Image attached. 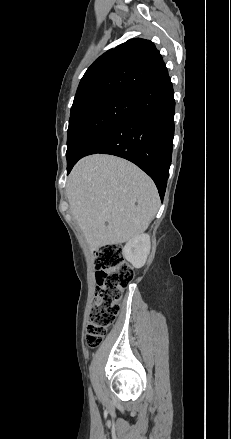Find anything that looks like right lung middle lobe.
<instances>
[{
	"label": "right lung middle lobe",
	"mask_w": 231,
	"mask_h": 439,
	"mask_svg": "<svg viewBox=\"0 0 231 439\" xmlns=\"http://www.w3.org/2000/svg\"><path fill=\"white\" fill-rule=\"evenodd\" d=\"M139 109L134 93L107 94L71 108L67 165L80 156L83 148L95 135L115 122L136 114Z\"/></svg>",
	"instance_id": "obj_1"
}]
</instances>
